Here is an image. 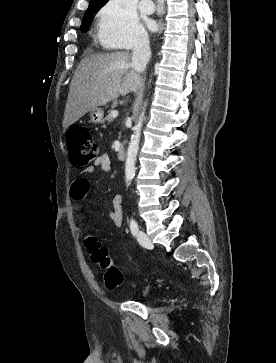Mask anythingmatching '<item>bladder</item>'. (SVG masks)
<instances>
[{
  "label": "bladder",
  "mask_w": 276,
  "mask_h": 363,
  "mask_svg": "<svg viewBox=\"0 0 276 363\" xmlns=\"http://www.w3.org/2000/svg\"><path fill=\"white\" fill-rule=\"evenodd\" d=\"M143 300H149V296H145Z\"/></svg>",
  "instance_id": "obj_1"
}]
</instances>
